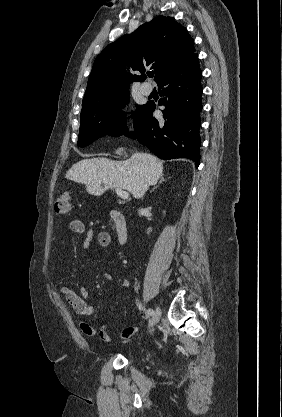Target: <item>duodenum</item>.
I'll return each instance as SVG.
<instances>
[{"mask_svg":"<svg viewBox=\"0 0 282 417\" xmlns=\"http://www.w3.org/2000/svg\"><path fill=\"white\" fill-rule=\"evenodd\" d=\"M110 216L115 225L117 238L121 244H124L128 239V226L124 214L118 211H111Z\"/></svg>","mask_w":282,"mask_h":417,"instance_id":"410a0bca","label":"duodenum"}]
</instances>
